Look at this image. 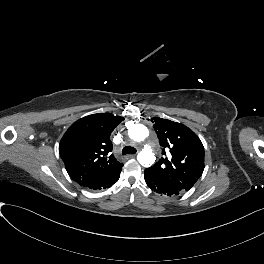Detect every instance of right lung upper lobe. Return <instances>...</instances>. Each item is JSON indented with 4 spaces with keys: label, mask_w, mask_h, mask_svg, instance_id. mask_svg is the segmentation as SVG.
Listing matches in <instances>:
<instances>
[{
    "label": "right lung upper lobe",
    "mask_w": 264,
    "mask_h": 264,
    "mask_svg": "<svg viewBox=\"0 0 264 264\" xmlns=\"http://www.w3.org/2000/svg\"><path fill=\"white\" fill-rule=\"evenodd\" d=\"M123 117L99 113L73 123L59 144V153L69 176L83 187H89L123 164L113 154L110 135Z\"/></svg>",
    "instance_id": "1"
}]
</instances>
